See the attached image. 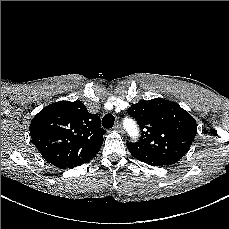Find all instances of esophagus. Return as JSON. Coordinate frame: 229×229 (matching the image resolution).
<instances>
[{"instance_id":"esophagus-1","label":"esophagus","mask_w":229,"mask_h":229,"mask_svg":"<svg viewBox=\"0 0 229 229\" xmlns=\"http://www.w3.org/2000/svg\"><path fill=\"white\" fill-rule=\"evenodd\" d=\"M114 130L122 133L123 132V128L121 126V124L117 123L115 126H114Z\"/></svg>"}]
</instances>
